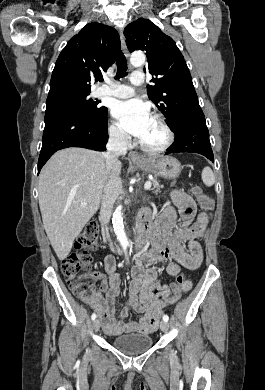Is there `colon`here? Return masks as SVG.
<instances>
[{"mask_svg": "<svg viewBox=\"0 0 265 390\" xmlns=\"http://www.w3.org/2000/svg\"><path fill=\"white\" fill-rule=\"evenodd\" d=\"M200 208L205 212H210L214 208L213 199L205 194L199 186L192 188ZM99 226L96 222H89L82 234L74 244L75 250L71 252L62 262V273L65 276L69 288L82 299H91L96 296L95 289L96 274L92 272V258L89 253L93 250L98 241ZM186 278L180 276L171 285L163 300L168 304L180 297L181 289Z\"/></svg>", "mask_w": 265, "mask_h": 390, "instance_id": "colon-1", "label": "colon"}]
</instances>
